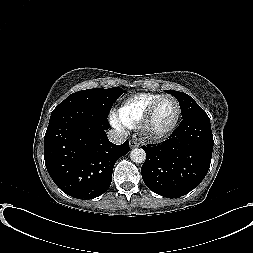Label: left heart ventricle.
Here are the masks:
<instances>
[{
  "instance_id": "b2bd125f",
  "label": "left heart ventricle",
  "mask_w": 253,
  "mask_h": 253,
  "mask_svg": "<svg viewBox=\"0 0 253 253\" xmlns=\"http://www.w3.org/2000/svg\"><path fill=\"white\" fill-rule=\"evenodd\" d=\"M176 104L172 99H164L158 105L151 129L153 131H163L168 128L176 116Z\"/></svg>"
}]
</instances>
